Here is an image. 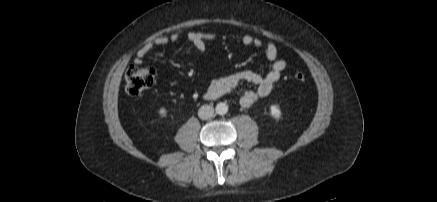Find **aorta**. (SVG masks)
I'll list each match as a JSON object with an SVG mask.
<instances>
[{
    "label": "aorta",
    "instance_id": "762f6f07",
    "mask_svg": "<svg viewBox=\"0 0 437 202\" xmlns=\"http://www.w3.org/2000/svg\"><path fill=\"white\" fill-rule=\"evenodd\" d=\"M216 113L219 115H224L228 112V106L226 103L220 102L216 105Z\"/></svg>",
    "mask_w": 437,
    "mask_h": 202
}]
</instances>
